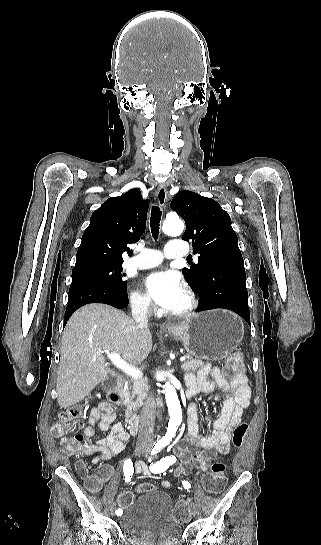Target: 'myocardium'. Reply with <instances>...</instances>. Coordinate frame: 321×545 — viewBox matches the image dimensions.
<instances>
[{
  "mask_svg": "<svg viewBox=\"0 0 321 545\" xmlns=\"http://www.w3.org/2000/svg\"><path fill=\"white\" fill-rule=\"evenodd\" d=\"M184 292L188 298V306L181 311L172 312L171 315L176 317H187L193 314L198 309L199 299L194 290L189 286H185Z\"/></svg>",
  "mask_w": 321,
  "mask_h": 545,
  "instance_id": "myocardium-1",
  "label": "myocardium"
}]
</instances>
